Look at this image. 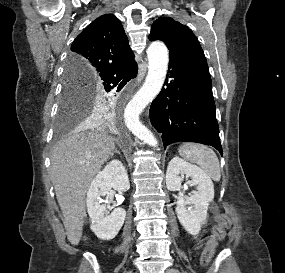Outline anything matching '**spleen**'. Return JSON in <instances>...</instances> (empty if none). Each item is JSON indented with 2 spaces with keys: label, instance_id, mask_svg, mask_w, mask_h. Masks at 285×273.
Here are the masks:
<instances>
[{
  "label": "spleen",
  "instance_id": "1",
  "mask_svg": "<svg viewBox=\"0 0 285 273\" xmlns=\"http://www.w3.org/2000/svg\"><path fill=\"white\" fill-rule=\"evenodd\" d=\"M179 154L185 160L198 164L203 172L214 181L221 178L220 164L213 150L203 144L185 143L179 148Z\"/></svg>",
  "mask_w": 285,
  "mask_h": 273
}]
</instances>
